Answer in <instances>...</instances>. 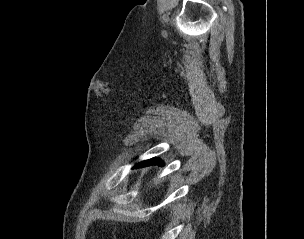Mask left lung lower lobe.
Listing matches in <instances>:
<instances>
[{
  "instance_id": "0a47b994",
  "label": "left lung lower lobe",
  "mask_w": 304,
  "mask_h": 239,
  "mask_svg": "<svg viewBox=\"0 0 304 239\" xmlns=\"http://www.w3.org/2000/svg\"><path fill=\"white\" fill-rule=\"evenodd\" d=\"M153 164L164 165L161 159H159V158H152V159H149V160L142 161V162L138 163L136 165V167L150 166V165H153Z\"/></svg>"
}]
</instances>
